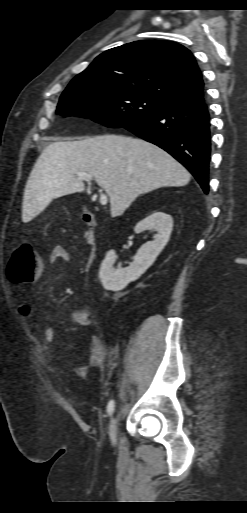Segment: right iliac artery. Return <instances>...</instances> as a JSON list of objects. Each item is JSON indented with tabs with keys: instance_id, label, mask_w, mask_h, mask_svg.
I'll use <instances>...</instances> for the list:
<instances>
[{
	"instance_id": "obj_1",
	"label": "right iliac artery",
	"mask_w": 247,
	"mask_h": 513,
	"mask_svg": "<svg viewBox=\"0 0 247 513\" xmlns=\"http://www.w3.org/2000/svg\"><path fill=\"white\" fill-rule=\"evenodd\" d=\"M114 410V400L109 401L107 405V412L111 415Z\"/></svg>"
}]
</instances>
